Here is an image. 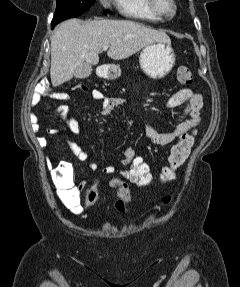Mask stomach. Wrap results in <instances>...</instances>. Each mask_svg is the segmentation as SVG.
<instances>
[{
	"label": "stomach",
	"mask_w": 240,
	"mask_h": 287,
	"mask_svg": "<svg viewBox=\"0 0 240 287\" xmlns=\"http://www.w3.org/2000/svg\"><path fill=\"white\" fill-rule=\"evenodd\" d=\"M176 55L171 43L155 42L143 48L139 63L144 73L152 79L165 77L174 67ZM121 75V69L113 65L110 67L109 78L116 79Z\"/></svg>",
	"instance_id": "stomach-1"
}]
</instances>
